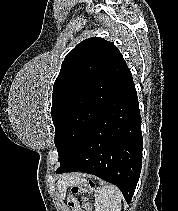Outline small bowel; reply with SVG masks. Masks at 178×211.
I'll use <instances>...</instances> for the list:
<instances>
[{
	"label": "small bowel",
	"instance_id": "small-bowel-1",
	"mask_svg": "<svg viewBox=\"0 0 178 211\" xmlns=\"http://www.w3.org/2000/svg\"><path fill=\"white\" fill-rule=\"evenodd\" d=\"M89 209H79V208H75L73 211H88Z\"/></svg>",
	"mask_w": 178,
	"mask_h": 211
}]
</instances>
